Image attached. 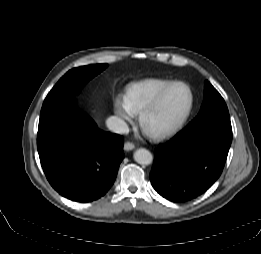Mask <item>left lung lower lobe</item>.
Returning <instances> with one entry per match:
<instances>
[{"label": "left lung lower lobe", "instance_id": "left-lung-lower-lobe-1", "mask_svg": "<svg viewBox=\"0 0 261 254\" xmlns=\"http://www.w3.org/2000/svg\"><path fill=\"white\" fill-rule=\"evenodd\" d=\"M232 141L228 123L183 129L156 149L150 180L173 202H187L205 193L222 173Z\"/></svg>", "mask_w": 261, "mask_h": 254}]
</instances>
